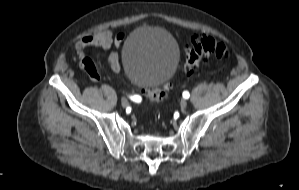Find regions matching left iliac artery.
<instances>
[{
  "label": "left iliac artery",
  "mask_w": 299,
  "mask_h": 190,
  "mask_svg": "<svg viewBox=\"0 0 299 190\" xmlns=\"http://www.w3.org/2000/svg\"><path fill=\"white\" fill-rule=\"evenodd\" d=\"M182 95H183V97H184L185 99H188L189 96H190V94H189L188 91H184Z\"/></svg>",
  "instance_id": "44dca946"
}]
</instances>
